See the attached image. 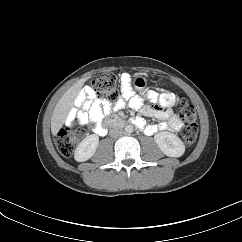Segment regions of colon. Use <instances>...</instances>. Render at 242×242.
<instances>
[{"mask_svg":"<svg viewBox=\"0 0 242 242\" xmlns=\"http://www.w3.org/2000/svg\"><path fill=\"white\" fill-rule=\"evenodd\" d=\"M95 97L103 100H116L119 96V86L116 76L112 73H105L96 78L92 83ZM180 117L184 121L182 138L186 145H193L197 138V116L195 109L186 99L180 100ZM84 130V123L75 118L66 128L61 129L56 137V144L62 156L69 157L75 150L78 133Z\"/></svg>","mask_w":242,"mask_h":242,"instance_id":"obj_1","label":"colon"}]
</instances>
